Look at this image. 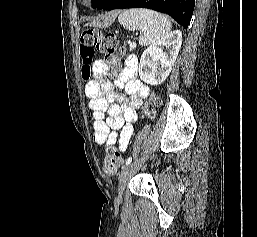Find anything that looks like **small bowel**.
Listing matches in <instances>:
<instances>
[{
    "label": "small bowel",
    "instance_id": "small-bowel-1",
    "mask_svg": "<svg viewBox=\"0 0 257 237\" xmlns=\"http://www.w3.org/2000/svg\"><path fill=\"white\" fill-rule=\"evenodd\" d=\"M108 65L98 59L94 63L95 78L85 87L92 110L94 141L105 147L116 142L124 152L133 133V123L137 120V110L148 97L149 90L137 79L136 61L127 60L126 66L115 81V86L125 91H115L114 84L105 74Z\"/></svg>",
    "mask_w": 257,
    "mask_h": 237
}]
</instances>
